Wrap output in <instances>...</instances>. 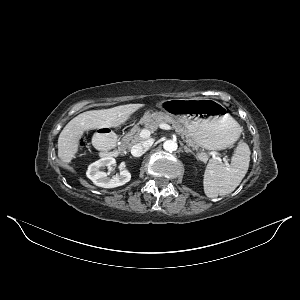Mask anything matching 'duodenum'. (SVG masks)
Segmentation results:
<instances>
[{"label": "duodenum", "mask_w": 300, "mask_h": 300, "mask_svg": "<svg viewBox=\"0 0 300 300\" xmlns=\"http://www.w3.org/2000/svg\"><path fill=\"white\" fill-rule=\"evenodd\" d=\"M112 138L111 133L98 134L94 137L95 144L99 147L104 157H116L119 155L118 150H111L110 148Z\"/></svg>", "instance_id": "obj_1"}]
</instances>
